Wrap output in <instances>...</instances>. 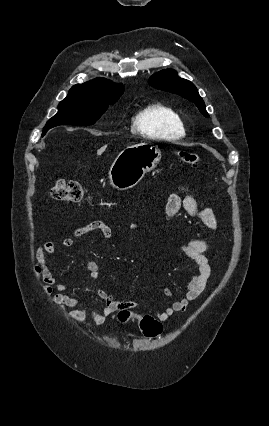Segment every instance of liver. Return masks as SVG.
I'll return each mask as SVG.
<instances>
[{
	"mask_svg": "<svg viewBox=\"0 0 269 426\" xmlns=\"http://www.w3.org/2000/svg\"><path fill=\"white\" fill-rule=\"evenodd\" d=\"M104 151V149L99 150L98 154H101Z\"/></svg>",
	"mask_w": 269,
	"mask_h": 426,
	"instance_id": "obj_1",
	"label": "liver"
}]
</instances>
